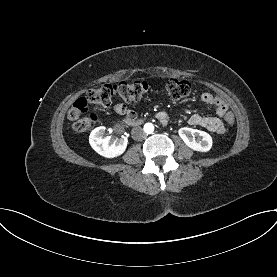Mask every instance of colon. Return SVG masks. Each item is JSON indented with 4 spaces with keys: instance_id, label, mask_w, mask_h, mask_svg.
<instances>
[{
    "instance_id": "5ec220e1",
    "label": "colon",
    "mask_w": 277,
    "mask_h": 277,
    "mask_svg": "<svg viewBox=\"0 0 277 277\" xmlns=\"http://www.w3.org/2000/svg\"><path fill=\"white\" fill-rule=\"evenodd\" d=\"M149 89V83L142 80L120 82L117 84H105L90 89L85 97H81L74 102L73 106L68 111V118L73 121V129L75 131H87L96 122L95 114L90 113L83 116L88 111V104L107 108L116 97H119L126 102H134L144 97ZM166 91L171 99L179 100L189 95L191 86L188 81L170 79L166 83ZM223 119L230 125H233L236 122L235 116L231 111L226 112Z\"/></svg>"
}]
</instances>
